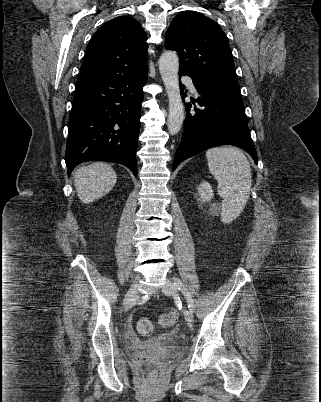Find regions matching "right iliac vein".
<instances>
[{"label": "right iliac vein", "instance_id": "1", "mask_svg": "<svg viewBox=\"0 0 321 402\" xmlns=\"http://www.w3.org/2000/svg\"><path fill=\"white\" fill-rule=\"evenodd\" d=\"M138 284L135 281L131 287L129 288L125 300H124V309L125 311H128L132 306H133V300L137 297L138 291H137Z\"/></svg>", "mask_w": 321, "mask_h": 402}]
</instances>
